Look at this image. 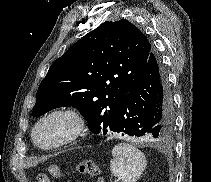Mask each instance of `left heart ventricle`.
Returning <instances> with one entry per match:
<instances>
[{
	"label": "left heart ventricle",
	"mask_w": 211,
	"mask_h": 182,
	"mask_svg": "<svg viewBox=\"0 0 211 182\" xmlns=\"http://www.w3.org/2000/svg\"><path fill=\"white\" fill-rule=\"evenodd\" d=\"M72 128L73 122L71 119L64 116L52 117L39 127L36 138L41 143H52L61 139Z\"/></svg>",
	"instance_id": "obj_1"
}]
</instances>
